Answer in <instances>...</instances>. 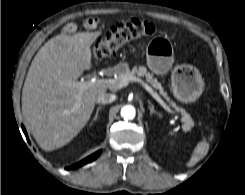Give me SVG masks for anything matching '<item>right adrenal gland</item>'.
<instances>
[{
	"mask_svg": "<svg viewBox=\"0 0 245 195\" xmlns=\"http://www.w3.org/2000/svg\"><path fill=\"white\" fill-rule=\"evenodd\" d=\"M101 108H102V106H99V107L97 108L96 113H95V116H94V118H93V120L91 121L90 124H92L94 121L97 120L98 113H99V111L101 110Z\"/></svg>",
	"mask_w": 245,
	"mask_h": 195,
	"instance_id": "obj_1",
	"label": "right adrenal gland"
}]
</instances>
